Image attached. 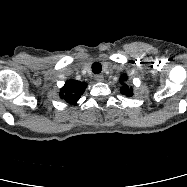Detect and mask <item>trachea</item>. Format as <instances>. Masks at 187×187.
I'll use <instances>...</instances> for the list:
<instances>
[{
	"mask_svg": "<svg viewBox=\"0 0 187 187\" xmlns=\"http://www.w3.org/2000/svg\"><path fill=\"white\" fill-rule=\"evenodd\" d=\"M101 70H102V66H101V64L99 62H94L92 64L93 73L99 74L101 72Z\"/></svg>",
	"mask_w": 187,
	"mask_h": 187,
	"instance_id": "trachea-1",
	"label": "trachea"
}]
</instances>
